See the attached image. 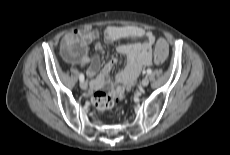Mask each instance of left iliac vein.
<instances>
[{"mask_svg": "<svg viewBox=\"0 0 230 155\" xmlns=\"http://www.w3.org/2000/svg\"><path fill=\"white\" fill-rule=\"evenodd\" d=\"M148 84H149V79L148 78H143L142 81H141V85L143 87H146V86H148Z\"/></svg>", "mask_w": 230, "mask_h": 155, "instance_id": "obj_1", "label": "left iliac vein"}]
</instances>
